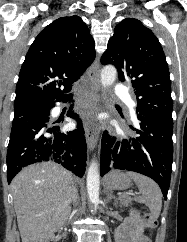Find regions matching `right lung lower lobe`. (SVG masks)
<instances>
[{
  "mask_svg": "<svg viewBox=\"0 0 187 242\" xmlns=\"http://www.w3.org/2000/svg\"><path fill=\"white\" fill-rule=\"evenodd\" d=\"M71 100L69 95L58 101ZM54 106L55 101L13 120L7 151L8 183L24 166L42 161H54L79 177L84 175L87 147L82 122L71 106L67 116L77 120V129L60 133L59 126L49 123L50 109Z\"/></svg>",
  "mask_w": 187,
  "mask_h": 242,
  "instance_id": "right-lung-lower-lobe-1",
  "label": "right lung lower lobe"
}]
</instances>
